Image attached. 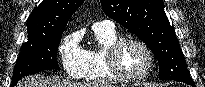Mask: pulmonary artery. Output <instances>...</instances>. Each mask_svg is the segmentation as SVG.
<instances>
[{
	"mask_svg": "<svg viewBox=\"0 0 205 87\" xmlns=\"http://www.w3.org/2000/svg\"><path fill=\"white\" fill-rule=\"evenodd\" d=\"M93 27H98V28H106V29H114V25L110 21H101L97 22L93 25Z\"/></svg>",
	"mask_w": 205,
	"mask_h": 87,
	"instance_id": "1",
	"label": "pulmonary artery"
}]
</instances>
